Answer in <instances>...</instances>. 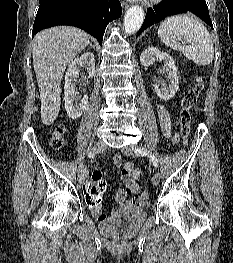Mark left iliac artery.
<instances>
[{
  "label": "left iliac artery",
  "instance_id": "left-iliac-artery-1",
  "mask_svg": "<svg viewBox=\"0 0 233 263\" xmlns=\"http://www.w3.org/2000/svg\"><path fill=\"white\" fill-rule=\"evenodd\" d=\"M135 153L143 156L149 155L150 158L152 159L154 167H158V159L156 158V156L152 155L146 148L139 147L135 149Z\"/></svg>",
  "mask_w": 233,
  "mask_h": 263
}]
</instances>
